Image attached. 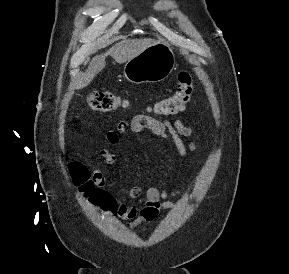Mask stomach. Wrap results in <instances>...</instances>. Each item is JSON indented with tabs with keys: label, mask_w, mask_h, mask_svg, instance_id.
<instances>
[{
	"label": "stomach",
	"mask_w": 289,
	"mask_h": 274,
	"mask_svg": "<svg viewBox=\"0 0 289 274\" xmlns=\"http://www.w3.org/2000/svg\"><path fill=\"white\" fill-rule=\"evenodd\" d=\"M175 67V56L166 42H157L127 61L124 76L132 83H156L167 78Z\"/></svg>",
	"instance_id": "0dacf381"
}]
</instances>
